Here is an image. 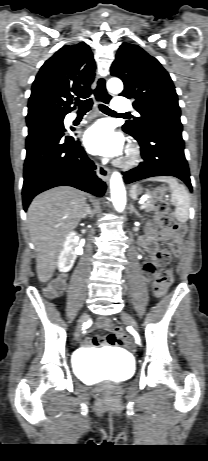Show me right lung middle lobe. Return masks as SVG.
I'll use <instances>...</instances> for the list:
<instances>
[{
    "mask_svg": "<svg viewBox=\"0 0 208 461\" xmlns=\"http://www.w3.org/2000/svg\"><path fill=\"white\" fill-rule=\"evenodd\" d=\"M26 123L28 127V135H32L33 133L43 128L52 127V126L64 128L63 118H54V117H45V116L27 117Z\"/></svg>",
    "mask_w": 208,
    "mask_h": 461,
    "instance_id": "dd1d6c3e",
    "label": "right lung middle lobe"
}]
</instances>
